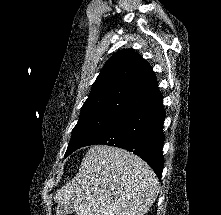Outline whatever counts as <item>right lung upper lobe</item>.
Listing matches in <instances>:
<instances>
[{"label":"right lung upper lobe","mask_w":221,"mask_h":215,"mask_svg":"<svg viewBox=\"0 0 221 215\" xmlns=\"http://www.w3.org/2000/svg\"><path fill=\"white\" fill-rule=\"evenodd\" d=\"M159 94L151 66L131 49L119 50L104 65L81 113L123 117Z\"/></svg>","instance_id":"obj_1"}]
</instances>
